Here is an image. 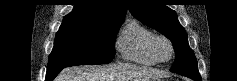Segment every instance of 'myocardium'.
Listing matches in <instances>:
<instances>
[{
	"label": "myocardium",
	"mask_w": 237,
	"mask_h": 81,
	"mask_svg": "<svg viewBox=\"0 0 237 81\" xmlns=\"http://www.w3.org/2000/svg\"><path fill=\"white\" fill-rule=\"evenodd\" d=\"M160 42L167 43V45L170 48V56L167 59H162L159 56L158 45H159ZM151 52H152V54H153V56H154V58L156 59L157 62H159V63H168L172 60V58L174 56V46H173V44H172V42L169 38H167L164 35L157 34V35H154V37L152 38Z\"/></svg>",
	"instance_id": "f54148a6"
}]
</instances>
